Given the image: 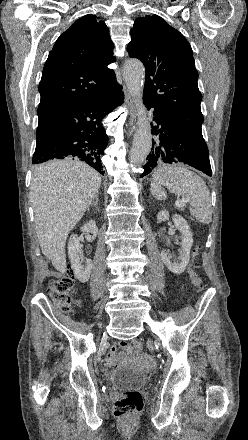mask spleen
<instances>
[{"label":"spleen","mask_w":248,"mask_h":440,"mask_svg":"<svg viewBox=\"0 0 248 440\" xmlns=\"http://www.w3.org/2000/svg\"><path fill=\"white\" fill-rule=\"evenodd\" d=\"M162 186L188 200L190 213L197 221L211 223V196L201 177L182 165H164L153 173L151 179V193L157 200L167 198Z\"/></svg>","instance_id":"obj_1"}]
</instances>
